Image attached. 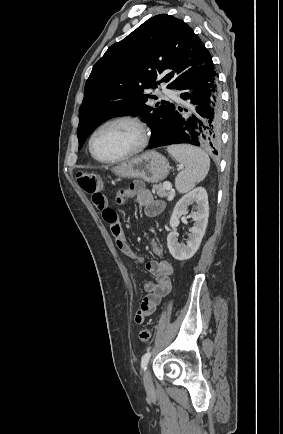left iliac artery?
<instances>
[{
	"label": "left iliac artery",
	"instance_id": "1",
	"mask_svg": "<svg viewBox=\"0 0 283 434\" xmlns=\"http://www.w3.org/2000/svg\"><path fill=\"white\" fill-rule=\"evenodd\" d=\"M150 357H151V353L150 352H147V353H145L142 356V359H141V367H142V369H144V370L146 369V366H147V364L149 362Z\"/></svg>",
	"mask_w": 283,
	"mask_h": 434
}]
</instances>
